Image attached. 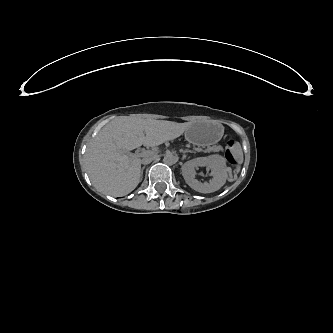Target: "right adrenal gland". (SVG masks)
Segmentation results:
<instances>
[{"instance_id": "1", "label": "right adrenal gland", "mask_w": 333, "mask_h": 333, "mask_svg": "<svg viewBox=\"0 0 333 333\" xmlns=\"http://www.w3.org/2000/svg\"><path fill=\"white\" fill-rule=\"evenodd\" d=\"M144 168H145V166L142 167V169H141V173H140L141 179H142V175H143V170H144Z\"/></svg>"}]
</instances>
